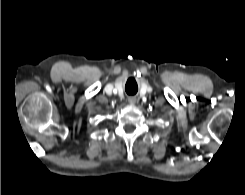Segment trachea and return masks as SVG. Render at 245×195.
Wrapping results in <instances>:
<instances>
[{"instance_id": "obj_1", "label": "trachea", "mask_w": 245, "mask_h": 195, "mask_svg": "<svg viewBox=\"0 0 245 195\" xmlns=\"http://www.w3.org/2000/svg\"><path fill=\"white\" fill-rule=\"evenodd\" d=\"M125 89H126V92L128 93V94H130V95H133V94H135L136 92H137V88L136 87H134V88H129V82L127 83V86L125 87Z\"/></svg>"}]
</instances>
